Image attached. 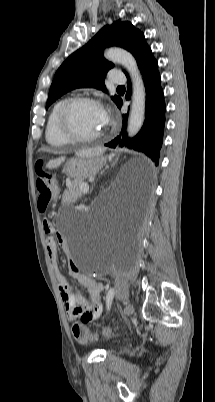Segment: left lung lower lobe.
<instances>
[{
	"label": "left lung lower lobe",
	"instance_id": "obj_1",
	"mask_svg": "<svg viewBox=\"0 0 215 402\" xmlns=\"http://www.w3.org/2000/svg\"><path fill=\"white\" fill-rule=\"evenodd\" d=\"M140 72L143 77L146 91V112L144 124L140 132L133 138H128L126 133V124L128 114L123 115V127L119 136L105 144L112 148L127 147L139 152H144L153 161L154 165H158L160 157V149L162 147L163 131L165 125L166 106L164 102L163 90L160 85V74L158 71V63L154 57L150 58L141 68ZM128 78V89L126 99L131 96V83ZM122 99L116 105L118 108L122 106Z\"/></svg>",
	"mask_w": 215,
	"mask_h": 402
}]
</instances>
